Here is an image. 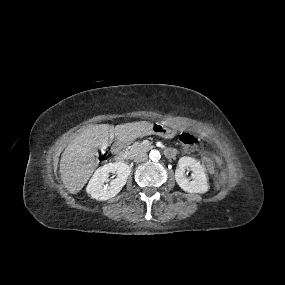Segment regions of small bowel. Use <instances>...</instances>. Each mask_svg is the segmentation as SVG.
I'll return each mask as SVG.
<instances>
[{
  "label": "small bowel",
  "mask_w": 285,
  "mask_h": 285,
  "mask_svg": "<svg viewBox=\"0 0 285 285\" xmlns=\"http://www.w3.org/2000/svg\"><path fill=\"white\" fill-rule=\"evenodd\" d=\"M201 159H202V163H203L205 169L209 173H213L214 172V168H215V163L216 162L219 163V160L218 159H214L213 157L209 156L206 153H202L201 154Z\"/></svg>",
  "instance_id": "small-bowel-1"
}]
</instances>
